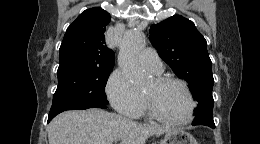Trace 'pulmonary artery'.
I'll return each instance as SVG.
<instances>
[{"instance_id":"pulmonary-artery-1","label":"pulmonary artery","mask_w":260,"mask_h":144,"mask_svg":"<svg viewBox=\"0 0 260 144\" xmlns=\"http://www.w3.org/2000/svg\"><path fill=\"white\" fill-rule=\"evenodd\" d=\"M140 63L143 67L154 74L163 71V66L158 53L152 48H146L140 55Z\"/></svg>"}]
</instances>
